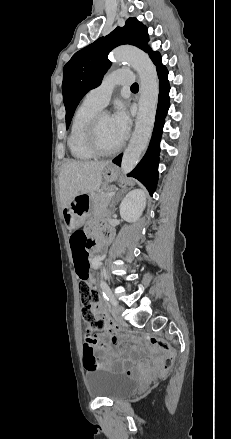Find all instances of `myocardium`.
Segmentation results:
<instances>
[{"label":"myocardium","instance_id":"myocardium-1","mask_svg":"<svg viewBox=\"0 0 231 439\" xmlns=\"http://www.w3.org/2000/svg\"><path fill=\"white\" fill-rule=\"evenodd\" d=\"M108 114L106 111H98L96 112L92 118L90 119L86 130H85V141L90 148V150L94 153V155L107 157L112 156L118 153L122 148V143L116 146L113 149H103L98 141V126L100 119L103 115Z\"/></svg>","mask_w":231,"mask_h":439}]
</instances>
